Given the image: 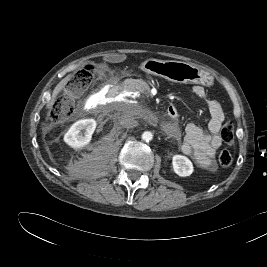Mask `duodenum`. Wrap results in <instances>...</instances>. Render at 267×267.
Wrapping results in <instances>:
<instances>
[{
	"mask_svg": "<svg viewBox=\"0 0 267 267\" xmlns=\"http://www.w3.org/2000/svg\"><path fill=\"white\" fill-rule=\"evenodd\" d=\"M109 93L112 96H115L116 98H123V99L129 98V93L125 92V89L119 83H112L109 86ZM167 115L171 119H175L177 117V111H176L175 107L169 106L167 109Z\"/></svg>",
	"mask_w": 267,
	"mask_h": 267,
	"instance_id": "obj_1",
	"label": "duodenum"
}]
</instances>
